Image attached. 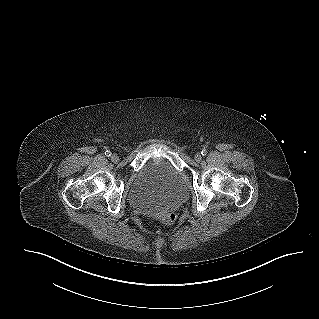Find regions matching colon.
Segmentation results:
<instances>
[{"mask_svg": "<svg viewBox=\"0 0 319 319\" xmlns=\"http://www.w3.org/2000/svg\"><path fill=\"white\" fill-rule=\"evenodd\" d=\"M158 218H160L164 224L166 225H172L175 223L177 216L174 212H168L165 214H158L156 215Z\"/></svg>", "mask_w": 319, "mask_h": 319, "instance_id": "colon-1", "label": "colon"}]
</instances>
